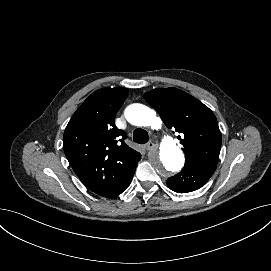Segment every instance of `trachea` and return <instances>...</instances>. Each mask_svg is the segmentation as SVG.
I'll list each match as a JSON object with an SVG mask.
<instances>
[{"instance_id": "3493384b", "label": "trachea", "mask_w": 271, "mask_h": 271, "mask_svg": "<svg viewBox=\"0 0 271 271\" xmlns=\"http://www.w3.org/2000/svg\"><path fill=\"white\" fill-rule=\"evenodd\" d=\"M149 140V135L146 130L143 129H136L133 132V141L138 144H145Z\"/></svg>"}]
</instances>
